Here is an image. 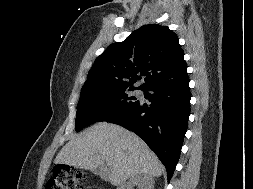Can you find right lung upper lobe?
Masks as SVG:
<instances>
[{
  "label": "right lung upper lobe",
  "instance_id": "1",
  "mask_svg": "<svg viewBox=\"0 0 253 189\" xmlns=\"http://www.w3.org/2000/svg\"><path fill=\"white\" fill-rule=\"evenodd\" d=\"M183 58L174 32L167 26L145 25L96 58L81 92L107 86L134 88L142 76L145 82L138 87L141 90L173 82L187 76Z\"/></svg>",
  "mask_w": 253,
  "mask_h": 189
}]
</instances>
